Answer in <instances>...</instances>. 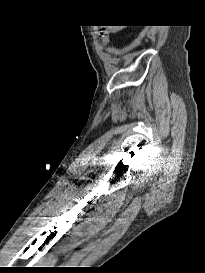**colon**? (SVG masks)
<instances>
[{"mask_svg":"<svg viewBox=\"0 0 205 273\" xmlns=\"http://www.w3.org/2000/svg\"><path fill=\"white\" fill-rule=\"evenodd\" d=\"M108 32L107 31H101V39L106 42L108 40Z\"/></svg>","mask_w":205,"mask_h":273,"instance_id":"obj_1","label":"colon"}]
</instances>
